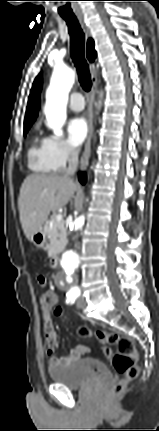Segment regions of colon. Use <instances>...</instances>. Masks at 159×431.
<instances>
[{
	"instance_id": "5ec220e1",
	"label": "colon",
	"mask_w": 159,
	"mask_h": 431,
	"mask_svg": "<svg viewBox=\"0 0 159 431\" xmlns=\"http://www.w3.org/2000/svg\"><path fill=\"white\" fill-rule=\"evenodd\" d=\"M56 295L57 292L54 289L48 291L47 303L50 306L55 303ZM54 312L52 319L55 322H58L65 315L64 308H61V303H56ZM78 334L84 338L94 337L104 345L100 351L109 360L108 366L112 365L122 375V379L111 388L110 397L116 398L121 395L128 383L135 379L139 372L136 365L137 351L133 341L129 337L113 331L103 329L93 331L86 325L79 326Z\"/></svg>"
}]
</instances>
